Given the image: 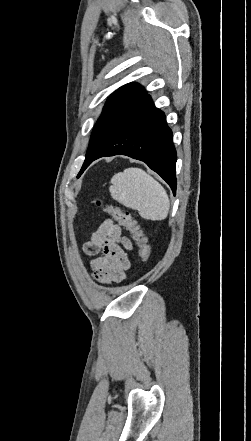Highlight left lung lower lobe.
<instances>
[{"label": "left lung lower lobe", "instance_id": "1", "mask_svg": "<svg viewBox=\"0 0 251 441\" xmlns=\"http://www.w3.org/2000/svg\"><path fill=\"white\" fill-rule=\"evenodd\" d=\"M127 155L145 162L176 192V150L164 113L144 95L121 116L109 115L96 123L81 173L103 156Z\"/></svg>", "mask_w": 251, "mask_h": 441}]
</instances>
